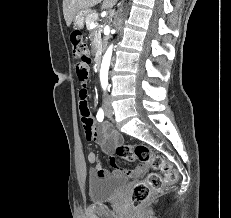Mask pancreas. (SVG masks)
I'll use <instances>...</instances> for the list:
<instances>
[{"label": "pancreas", "mask_w": 231, "mask_h": 218, "mask_svg": "<svg viewBox=\"0 0 231 218\" xmlns=\"http://www.w3.org/2000/svg\"><path fill=\"white\" fill-rule=\"evenodd\" d=\"M98 20V14L96 12L90 11L85 18V22H86V27L88 30H91L90 28V24L92 22H96ZM101 29H97V30H92V33L94 35V37H96L97 39L100 40V36H101Z\"/></svg>", "instance_id": "cf45deb5"}]
</instances>
